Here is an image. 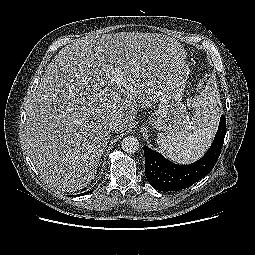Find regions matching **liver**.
<instances>
[{
    "label": "liver",
    "mask_w": 255,
    "mask_h": 255,
    "mask_svg": "<svg viewBox=\"0 0 255 255\" xmlns=\"http://www.w3.org/2000/svg\"><path fill=\"white\" fill-rule=\"evenodd\" d=\"M185 48L162 34L91 35L65 46L49 63L29 104L26 147L51 187L80 190L95 178L111 133L124 132L150 108L186 63ZM121 69L122 83L111 72Z\"/></svg>",
    "instance_id": "obj_1"
}]
</instances>
